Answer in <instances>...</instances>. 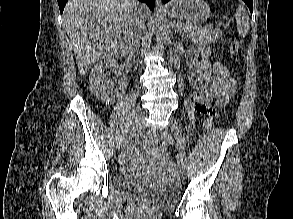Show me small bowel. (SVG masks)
<instances>
[{
	"mask_svg": "<svg viewBox=\"0 0 293 219\" xmlns=\"http://www.w3.org/2000/svg\"><path fill=\"white\" fill-rule=\"evenodd\" d=\"M203 56H207L208 51L205 48L201 49ZM214 80L212 85L205 90H197L188 96V103L198 112L200 107H206L213 110V117L217 116L214 105L223 106L233 96L236 87V81L231 76L228 69L221 63H215L213 66Z\"/></svg>",
	"mask_w": 293,
	"mask_h": 219,
	"instance_id": "obj_1",
	"label": "small bowel"
}]
</instances>
